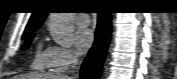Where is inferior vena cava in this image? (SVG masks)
Masks as SVG:
<instances>
[{
	"instance_id": "inferior-vena-cava-1",
	"label": "inferior vena cava",
	"mask_w": 177,
	"mask_h": 79,
	"mask_svg": "<svg viewBox=\"0 0 177 79\" xmlns=\"http://www.w3.org/2000/svg\"><path fill=\"white\" fill-rule=\"evenodd\" d=\"M77 65H78L77 57L76 56H72V59H71V68L72 69H76Z\"/></svg>"
}]
</instances>
